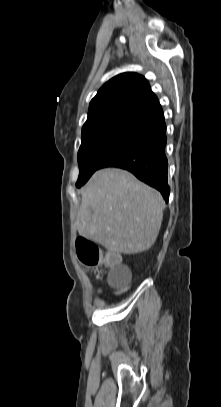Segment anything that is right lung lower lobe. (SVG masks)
<instances>
[{
    "mask_svg": "<svg viewBox=\"0 0 221 407\" xmlns=\"http://www.w3.org/2000/svg\"><path fill=\"white\" fill-rule=\"evenodd\" d=\"M166 124L163 111L142 123L102 163L99 169L118 167L159 190L168 202L170 189L165 155Z\"/></svg>",
    "mask_w": 221,
    "mask_h": 407,
    "instance_id": "1",
    "label": "right lung lower lobe"
}]
</instances>
